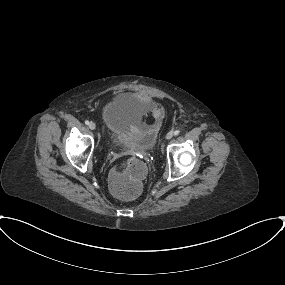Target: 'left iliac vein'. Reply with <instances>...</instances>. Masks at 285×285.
Listing matches in <instances>:
<instances>
[{"instance_id":"left-iliac-vein-1","label":"left iliac vein","mask_w":285,"mask_h":285,"mask_svg":"<svg viewBox=\"0 0 285 285\" xmlns=\"http://www.w3.org/2000/svg\"><path fill=\"white\" fill-rule=\"evenodd\" d=\"M173 131L168 132V134L166 135V139H171L173 137Z\"/></svg>"}]
</instances>
